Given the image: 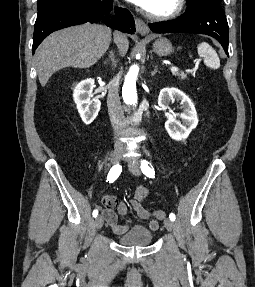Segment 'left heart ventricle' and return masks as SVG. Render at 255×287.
<instances>
[{
    "label": "left heart ventricle",
    "mask_w": 255,
    "mask_h": 287,
    "mask_svg": "<svg viewBox=\"0 0 255 287\" xmlns=\"http://www.w3.org/2000/svg\"><path fill=\"white\" fill-rule=\"evenodd\" d=\"M150 33H164V32H150ZM150 39H160V38H150ZM138 48H148V47H138ZM151 48H169V47H151Z\"/></svg>",
    "instance_id": "1"
}]
</instances>
